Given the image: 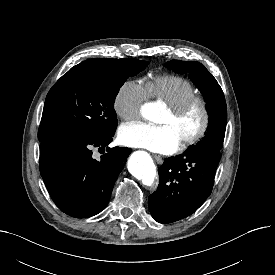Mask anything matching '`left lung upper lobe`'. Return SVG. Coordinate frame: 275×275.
Listing matches in <instances>:
<instances>
[{
  "label": "left lung upper lobe",
  "instance_id": "left-lung-upper-lobe-1",
  "mask_svg": "<svg viewBox=\"0 0 275 275\" xmlns=\"http://www.w3.org/2000/svg\"><path fill=\"white\" fill-rule=\"evenodd\" d=\"M174 72L188 73L204 96L209 111V126L202 141L188 149L211 147L221 150L226 130V102L223 91L212 74L199 62L171 60L165 64Z\"/></svg>",
  "mask_w": 275,
  "mask_h": 275
}]
</instances>
